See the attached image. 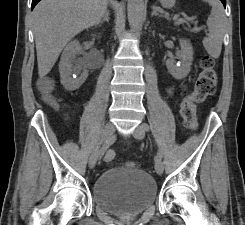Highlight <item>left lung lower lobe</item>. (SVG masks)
I'll use <instances>...</instances> for the list:
<instances>
[{
	"label": "left lung lower lobe",
	"mask_w": 245,
	"mask_h": 225,
	"mask_svg": "<svg viewBox=\"0 0 245 225\" xmlns=\"http://www.w3.org/2000/svg\"><path fill=\"white\" fill-rule=\"evenodd\" d=\"M224 6H226V0H220Z\"/></svg>",
	"instance_id": "obj_1"
}]
</instances>
